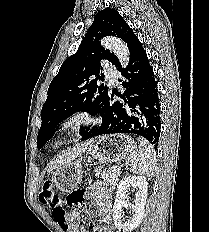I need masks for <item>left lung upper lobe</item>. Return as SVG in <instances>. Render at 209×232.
<instances>
[{
  "instance_id": "1",
  "label": "left lung upper lobe",
  "mask_w": 209,
  "mask_h": 232,
  "mask_svg": "<svg viewBox=\"0 0 209 232\" xmlns=\"http://www.w3.org/2000/svg\"><path fill=\"white\" fill-rule=\"evenodd\" d=\"M109 35L121 38L129 49L138 39L117 10L105 8L95 15L77 52L63 62L49 86L41 111L38 149L54 135L57 125L72 114L84 111L101 116L104 112L109 90L97 85L101 61L108 60L116 68L120 66L118 58L99 43V39ZM89 130H81V136L84 138Z\"/></svg>"
}]
</instances>
